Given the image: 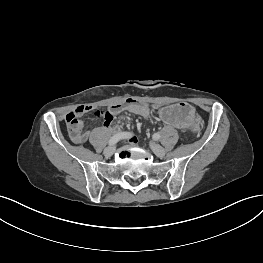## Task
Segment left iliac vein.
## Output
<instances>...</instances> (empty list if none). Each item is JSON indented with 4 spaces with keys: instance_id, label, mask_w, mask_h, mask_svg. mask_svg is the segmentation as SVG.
Listing matches in <instances>:
<instances>
[{
    "instance_id": "left-iliac-vein-1",
    "label": "left iliac vein",
    "mask_w": 263,
    "mask_h": 263,
    "mask_svg": "<svg viewBox=\"0 0 263 263\" xmlns=\"http://www.w3.org/2000/svg\"><path fill=\"white\" fill-rule=\"evenodd\" d=\"M150 148L155 153V155L158 157H164L166 154L164 148L155 143H150Z\"/></svg>"
}]
</instances>
